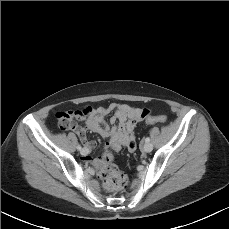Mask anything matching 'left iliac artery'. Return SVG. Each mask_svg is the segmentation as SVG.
<instances>
[{"label": "left iliac artery", "mask_w": 229, "mask_h": 229, "mask_svg": "<svg viewBox=\"0 0 229 229\" xmlns=\"http://www.w3.org/2000/svg\"><path fill=\"white\" fill-rule=\"evenodd\" d=\"M149 141H150L149 137L145 138V142H149Z\"/></svg>", "instance_id": "left-iliac-artery-1"}]
</instances>
